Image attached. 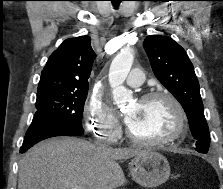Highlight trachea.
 Returning <instances> with one entry per match:
<instances>
[{
	"label": "trachea",
	"mask_w": 223,
	"mask_h": 189,
	"mask_svg": "<svg viewBox=\"0 0 223 189\" xmlns=\"http://www.w3.org/2000/svg\"><path fill=\"white\" fill-rule=\"evenodd\" d=\"M113 6L116 8L120 4L121 0H111Z\"/></svg>",
	"instance_id": "obj_1"
}]
</instances>
